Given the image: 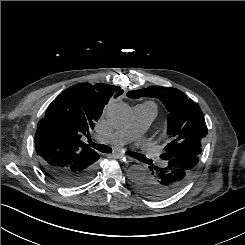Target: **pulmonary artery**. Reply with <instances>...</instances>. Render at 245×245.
Instances as JSON below:
<instances>
[{"instance_id":"1","label":"pulmonary artery","mask_w":245,"mask_h":245,"mask_svg":"<svg viewBox=\"0 0 245 245\" xmlns=\"http://www.w3.org/2000/svg\"><path fill=\"white\" fill-rule=\"evenodd\" d=\"M156 115L157 108L144 103L136 105L132 123L127 128L109 135L107 141L119 146L133 140L149 127Z\"/></svg>"}]
</instances>
